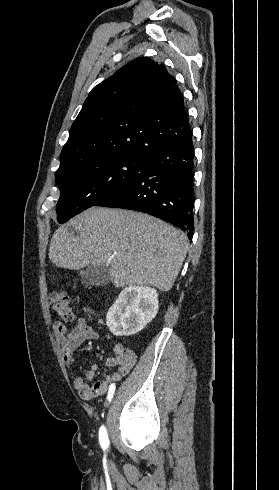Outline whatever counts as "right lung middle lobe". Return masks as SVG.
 Returning a JSON list of instances; mask_svg holds the SVG:
<instances>
[{"label": "right lung middle lobe", "mask_w": 279, "mask_h": 490, "mask_svg": "<svg viewBox=\"0 0 279 490\" xmlns=\"http://www.w3.org/2000/svg\"><path fill=\"white\" fill-rule=\"evenodd\" d=\"M149 164V160L132 156L97 158L71 172L56 175L61 190L56 206L58 222L65 223L135 180Z\"/></svg>", "instance_id": "1"}]
</instances>
